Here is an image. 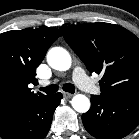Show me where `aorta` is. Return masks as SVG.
Returning a JSON list of instances; mask_svg holds the SVG:
<instances>
[{
  "label": "aorta",
  "mask_w": 139,
  "mask_h": 139,
  "mask_svg": "<svg viewBox=\"0 0 139 139\" xmlns=\"http://www.w3.org/2000/svg\"><path fill=\"white\" fill-rule=\"evenodd\" d=\"M49 66L58 71H66L71 66V56L62 47H54L47 53ZM72 107L79 113H86L90 109V100L83 94L75 95L71 100Z\"/></svg>",
  "instance_id": "762f6f07"
}]
</instances>
